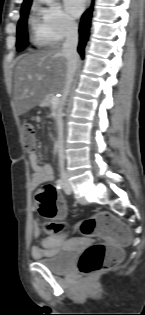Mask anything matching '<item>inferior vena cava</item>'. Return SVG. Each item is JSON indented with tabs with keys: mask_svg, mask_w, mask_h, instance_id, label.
<instances>
[{
	"mask_svg": "<svg viewBox=\"0 0 145 315\" xmlns=\"http://www.w3.org/2000/svg\"><path fill=\"white\" fill-rule=\"evenodd\" d=\"M65 41L62 46V54L67 60L66 81L63 89V100L68 96L71 84L78 66L79 58L77 54L78 45V26L76 23L68 22L66 25ZM62 109H60L61 112ZM58 156L60 164V176L66 178L67 174L64 168L65 154H64V136H63V122L59 121L58 124Z\"/></svg>",
	"mask_w": 145,
	"mask_h": 315,
	"instance_id": "1",
	"label": "inferior vena cava"
}]
</instances>
